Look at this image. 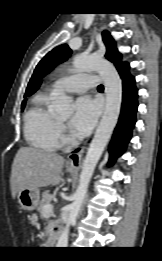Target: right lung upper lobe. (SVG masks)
Masks as SVG:
<instances>
[{"instance_id":"obj_1","label":"right lung upper lobe","mask_w":162,"mask_h":261,"mask_svg":"<svg viewBox=\"0 0 162 261\" xmlns=\"http://www.w3.org/2000/svg\"><path fill=\"white\" fill-rule=\"evenodd\" d=\"M39 85H40V83H38V84L32 89V91L30 92L29 95L33 94V93L38 89ZM24 101H25V100H24Z\"/></svg>"}]
</instances>
